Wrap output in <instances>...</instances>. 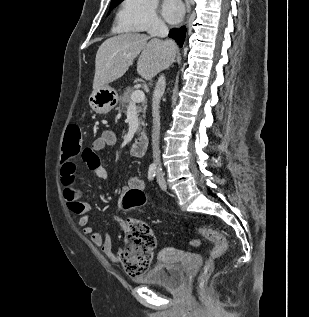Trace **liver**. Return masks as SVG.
<instances>
[{"label": "liver", "mask_w": 309, "mask_h": 317, "mask_svg": "<svg viewBox=\"0 0 309 317\" xmlns=\"http://www.w3.org/2000/svg\"><path fill=\"white\" fill-rule=\"evenodd\" d=\"M176 51L173 41L151 39L145 34L124 33L108 38L96 54L93 89L122 77L137 56V73L150 80L174 62Z\"/></svg>", "instance_id": "6515ba94"}]
</instances>
